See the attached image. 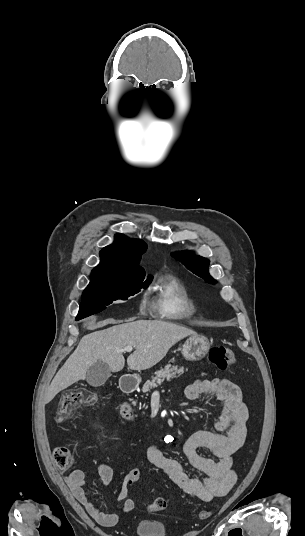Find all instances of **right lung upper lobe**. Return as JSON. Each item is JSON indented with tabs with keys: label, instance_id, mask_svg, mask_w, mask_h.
<instances>
[{
	"label": "right lung upper lobe",
	"instance_id": "cb5924a9",
	"mask_svg": "<svg viewBox=\"0 0 305 536\" xmlns=\"http://www.w3.org/2000/svg\"><path fill=\"white\" fill-rule=\"evenodd\" d=\"M147 245L142 240H131L122 234L115 235V242L100 251V263L91 274L93 280H129L145 278L139 266Z\"/></svg>",
	"mask_w": 305,
	"mask_h": 536
}]
</instances>
